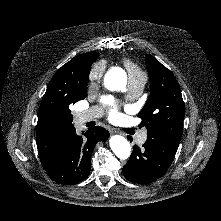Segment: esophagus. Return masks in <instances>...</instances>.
I'll return each instance as SVG.
<instances>
[{"label": "esophagus", "mask_w": 221, "mask_h": 221, "mask_svg": "<svg viewBox=\"0 0 221 221\" xmlns=\"http://www.w3.org/2000/svg\"><path fill=\"white\" fill-rule=\"evenodd\" d=\"M113 133L118 134V133H120V132H118V131L115 130V131H113Z\"/></svg>", "instance_id": "obj_1"}]
</instances>
